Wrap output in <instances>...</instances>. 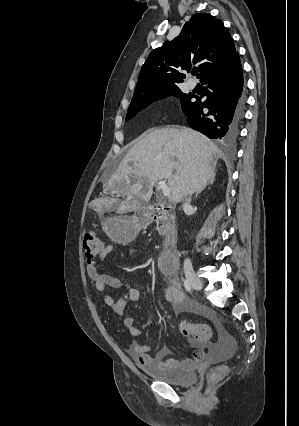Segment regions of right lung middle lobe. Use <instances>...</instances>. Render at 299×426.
Returning <instances> with one entry per match:
<instances>
[{
  "label": "right lung middle lobe",
  "instance_id": "obj_1",
  "mask_svg": "<svg viewBox=\"0 0 299 426\" xmlns=\"http://www.w3.org/2000/svg\"><path fill=\"white\" fill-rule=\"evenodd\" d=\"M171 95L180 98L182 109H184L191 102L193 97L191 94H184L183 92H181L178 86L152 93L141 99L131 101L129 109L127 111L126 120L133 118L138 112L146 108L152 102Z\"/></svg>",
  "mask_w": 299,
  "mask_h": 426
}]
</instances>
